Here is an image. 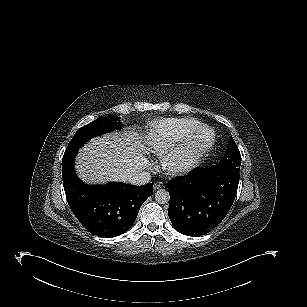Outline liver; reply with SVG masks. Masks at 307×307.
I'll return each mask as SVG.
<instances>
[{"instance_id":"6515ba94","label":"liver","mask_w":307,"mask_h":307,"mask_svg":"<svg viewBox=\"0 0 307 307\" xmlns=\"http://www.w3.org/2000/svg\"><path fill=\"white\" fill-rule=\"evenodd\" d=\"M138 141L129 134L112 133L93 138L82 147L75 159L78 177L88 184L128 182L130 176L141 171Z\"/></svg>"}]
</instances>
